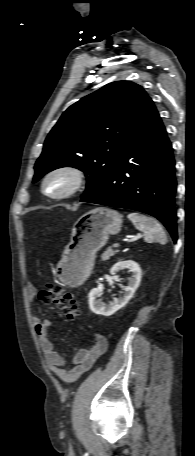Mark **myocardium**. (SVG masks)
<instances>
[{
    "instance_id": "myocardium-1",
    "label": "myocardium",
    "mask_w": 195,
    "mask_h": 456,
    "mask_svg": "<svg viewBox=\"0 0 195 456\" xmlns=\"http://www.w3.org/2000/svg\"><path fill=\"white\" fill-rule=\"evenodd\" d=\"M59 174L68 175L71 178L70 186L65 191L58 194L48 192L46 189L47 181L51 177ZM85 182L86 175L80 168H77L75 166L64 165L53 168L48 173H46L41 183V189L43 194L47 197L51 199L62 200L78 193L83 188Z\"/></svg>"
}]
</instances>
